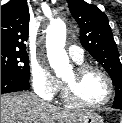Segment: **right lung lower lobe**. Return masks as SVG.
<instances>
[{
	"instance_id": "98d812e1",
	"label": "right lung lower lobe",
	"mask_w": 122,
	"mask_h": 123,
	"mask_svg": "<svg viewBox=\"0 0 122 123\" xmlns=\"http://www.w3.org/2000/svg\"><path fill=\"white\" fill-rule=\"evenodd\" d=\"M29 88V80L7 72H1V94L28 90Z\"/></svg>"
}]
</instances>
